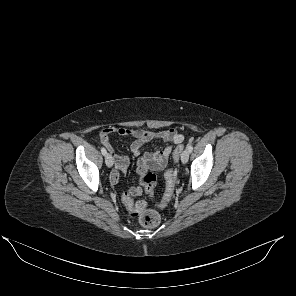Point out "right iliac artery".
Listing matches in <instances>:
<instances>
[{
  "label": "right iliac artery",
  "instance_id": "right-iliac-artery-1",
  "mask_svg": "<svg viewBox=\"0 0 296 296\" xmlns=\"http://www.w3.org/2000/svg\"><path fill=\"white\" fill-rule=\"evenodd\" d=\"M101 152H102V154H103L104 156H106L107 151H106V149H105L104 147L101 148Z\"/></svg>",
  "mask_w": 296,
  "mask_h": 296
}]
</instances>
